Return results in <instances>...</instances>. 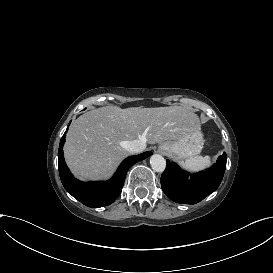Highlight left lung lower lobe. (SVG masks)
<instances>
[{
	"mask_svg": "<svg viewBox=\"0 0 273 273\" xmlns=\"http://www.w3.org/2000/svg\"><path fill=\"white\" fill-rule=\"evenodd\" d=\"M226 158V153H223L210 169L195 174L182 171L175 163L167 160V167L161 175L163 192L177 203L200 202L220 185L226 168Z\"/></svg>",
	"mask_w": 273,
	"mask_h": 273,
	"instance_id": "0a47b994",
	"label": "left lung lower lobe"
}]
</instances>
